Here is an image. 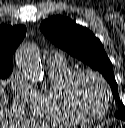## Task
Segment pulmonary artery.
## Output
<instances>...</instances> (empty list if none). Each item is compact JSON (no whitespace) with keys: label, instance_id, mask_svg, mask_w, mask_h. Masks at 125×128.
Here are the masks:
<instances>
[{"label":"pulmonary artery","instance_id":"obj_1","mask_svg":"<svg viewBox=\"0 0 125 128\" xmlns=\"http://www.w3.org/2000/svg\"><path fill=\"white\" fill-rule=\"evenodd\" d=\"M61 61H64V56L59 53L52 54L48 59L49 63L50 62H61Z\"/></svg>","mask_w":125,"mask_h":128}]
</instances>
